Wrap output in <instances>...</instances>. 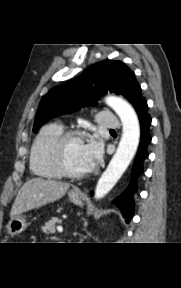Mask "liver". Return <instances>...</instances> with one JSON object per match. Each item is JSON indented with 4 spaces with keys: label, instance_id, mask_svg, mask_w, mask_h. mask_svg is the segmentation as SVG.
<instances>
[{
    "label": "liver",
    "instance_id": "obj_1",
    "mask_svg": "<svg viewBox=\"0 0 181 288\" xmlns=\"http://www.w3.org/2000/svg\"><path fill=\"white\" fill-rule=\"evenodd\" d=\"M70 187L69 183L43 178H32L20 188L10 217L13 218L25 211L42 207L62 198Z\"/></svg>",
    "mask_w": 181,
    "mask_h": 288
}]
</instances>
